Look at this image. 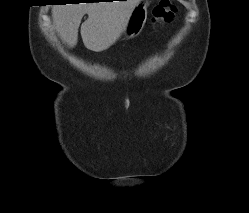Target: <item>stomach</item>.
<instances>
[{
  "label": "stomach",
  "mask_w": 249,
  "mask_h": 213,
  "mask_svg": "<svg viewBox=\"0 0 249 213\" xmlns=\"http://www.w3.org/2000/svg\"><path fill=\"white\" fill-rule=\"evenodd\" d=\"M149 3L146 0H141L138 2L123 29V34L126 38L136 37L143 29L147 20V8Z\"/></svg>",
  "instance_id": "stomach-1"
}]
</instances>
